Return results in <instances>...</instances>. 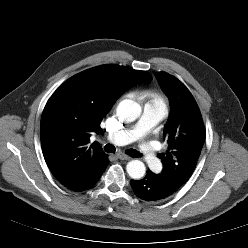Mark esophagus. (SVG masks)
Returning <instances> with one entry per match:
<instances>
[{"label":"esophagus","mask_w":248,"mask_h":248,"mask_svg":"<svg viewBox=\"0 0 248 248\" xmlns=\"http://www.w3.org/2000/svg\"><path fill=\"white\" fill-rule=\"evenodd\" d=\"M117 157L121 160H130L131 157L127 156L126 154L120 152V153H117Z\"/></svg>","instance_id":"1"}]
</instances>
